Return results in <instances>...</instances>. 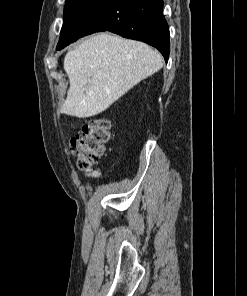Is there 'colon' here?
<instances>
[{"label": "colon", "instance_id": "5ec220e1", "mask_svg": "<svg viewBox=\"0 0 247 296\" xmlns=\"http://www.w3.org/2000/svg\"><path fill=\"white\" fill-rule=\"evenodd\" d=\"M110 140L109 122L102 118L90 119L82 124L80 132L71 141V150L77 157V166L88 176L104 154Z\"/></svg>", "mask_w": 247, "mask_h": 296}]
</instances>
